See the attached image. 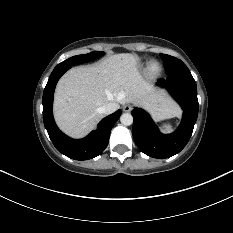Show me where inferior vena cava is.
Here are the masks:
<instances>
[{
  "mask_svg": "<svg viewBox=\"0 0 233 233\" xmlns=\"http://www.w3.org/2000/svg\"><path fill=\"white\" fill-rule=\"evenodd\" d=\"M118 106L115 103H108L98 109L99 113L109 115L117 110Z\"/></svg>",
  "mask_w": 233,
  "mask_h": 233,
  "instance_id": "1",
  "label": "inferior vena cava"
}]
</instances>
